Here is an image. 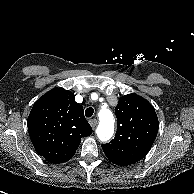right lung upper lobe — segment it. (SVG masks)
Here are the masks:
<instances>
[{
  "mask_svg": "<svg viewBox=\"0 0 194 194\" xmlns=\"http://www.w3.org/2000/svg\"><path fill=\"white\" fill-rule=\"evenodd\" d=\"M74 98L70 91L54 88L35 102L29 114L27 125L32 144L50 163L70 160L81 138L92 133L83 107Z\"/></svg>",
  "mask_w": 194,
  "mask_h": 194,
  "instance_id": "right-lung-upper-lobe-1",
  "label": "right lung upper lobe"
}]
</instances>
